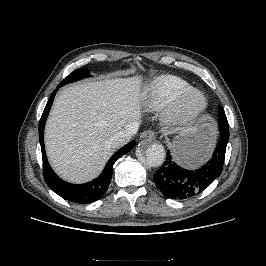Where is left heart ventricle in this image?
I'll return each instance as SVG.
<instances>
[{
	"label": "left heart ventricle",
	"mask_w": 266,
	"mask_h": 266,
	"mask_svg": "<svg viewBox=\"0 0 266 266\" xmlns=\"http://www.w3.org/2000/svg\"><path fill=\"white\" fill-rule=\"evenodd\" d=\"M197 101L195 100V99H190L189 100V104H194V103H196Z\"/></svg>",
	"instance_id": "b2bd125f"
}]
</instances>
